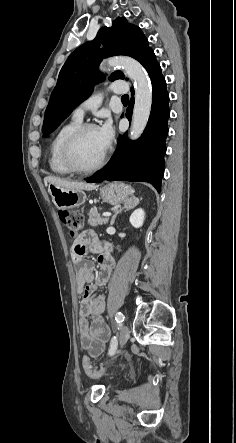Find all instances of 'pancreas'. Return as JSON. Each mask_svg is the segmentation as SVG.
<instances>
[{
    "mask_svg": "<svg viewBox=\"0 0 236 443\" xmlns=\"http://www.w3.org/2000/svg\"><path fill=\"white\" fill-rule=\"evenodd\" d=\"M108 223V218H102L96 208H91L89 212L88 224L92 227Z\"/></svg>",
    "mask_w": 236,
    "mask_h": 443,
    "instance_id": "cf45deb5",
    "label": "pancreas"
}]
</instances>
